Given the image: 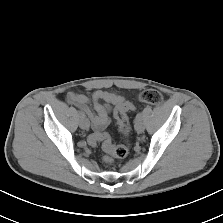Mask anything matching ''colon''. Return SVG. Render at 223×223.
<instances>
[{
  "label": "colon",
  "instance_id": "1",
  "mask_svg": "<svg viewBox=\"0 0 223 223\" xmlns=\"http://www.w3.org/2000/svg\"><path fill=\"white\" fill-rule=\"evenodd\" d=\"M138 99L140 102L152 106H159L163 101L162 95L158 91L152 89L141 91ZM133 108L134 106L132 103L123 102L115 111V118L118 127L125 138V144L114 145L107 133H94L90 136V143L92 145H101V148L108 154L105 156V161L112 162L114 158L121 159L127 156L129 151V135L131 130L127 111L132 110Z\"/></svg>",
  "mask_w": 223,
  "mask_h": 223
}]
</instances>
